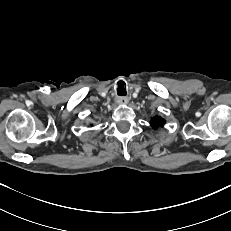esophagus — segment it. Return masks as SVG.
<instances>
[{"instance_id": "34e87169", "label": "esophagus", "mask_w": 231, "mask_h": 231, "mask_svg": "<svg viewBox=\"0 0 231 231\" xmlns=\"http://www.w3.org/2000/svg\"><path fill=\"white\" fill-rule=\"evenodd\" d=\"M116 102L119 104V105H126L128 102H129V98L126 97V96H121V97H118Z\"/></svg>"}]
</instances>
